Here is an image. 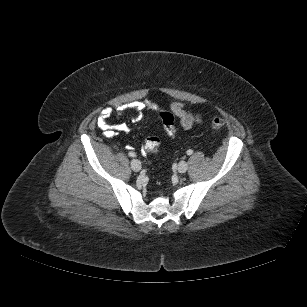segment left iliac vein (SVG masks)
Listing matches in <instances>:
<instances>
[{
    "instance_id": "obj_1",
    "label": "left iliac vein",
    "mask_w": 307,
    "mask_h": 307,
    "mask_svg": "<svg viewBox=\"0 0 307 307\" xmlns=\"http://www.w3.org/2000/svg\"><path fill=\"white\" fill-rule=\"evenodd\" d=\"M178 172L179 173H185L188 169V164L186 161H180L179 164H178Z\"/></svg>"
}]
</instances>
